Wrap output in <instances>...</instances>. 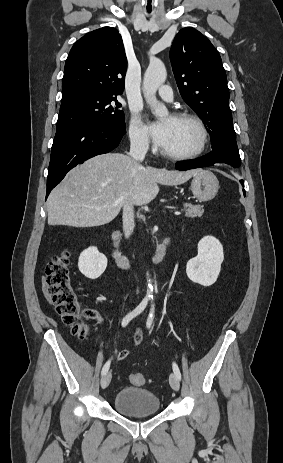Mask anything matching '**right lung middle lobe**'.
I'll return each instance as SVG.
<instances>
[{"label": "right lung middle lobe", "instance_id": "1", "mask_svg": "<svg viewBox=\"0 0 283 463\" xmlns=\"http://www.w3.org/2000/svg\"><path fill=\"white\" fill-rule=\"evenodd\" d=\"M116 96L87 95L61 104L56 130L82 123L125 129L124 112Z\"/></svg>", "mask_w": 283, "mask_h": 463}]
</instances>
